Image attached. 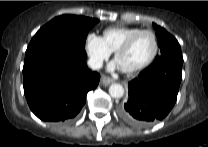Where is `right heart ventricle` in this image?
Segmentation results:
<instances>
[{
  "mask_svg": "<svg viewBox=\"0 0 208 147\" xmlns=\"http://www.w3.org/2000/svg\"><path fill=\"white\" fill-rule=\"evenodd\" d=\"M140 30L130 26L110 27L104 30L102 38L109 50L115 52L127 38Z\"/></svg>",
  "mask_w": 208,
  "mask_h": 147,
  "instance_id": "1",
  "label": "right heart ventricle"
}]
</instances>
